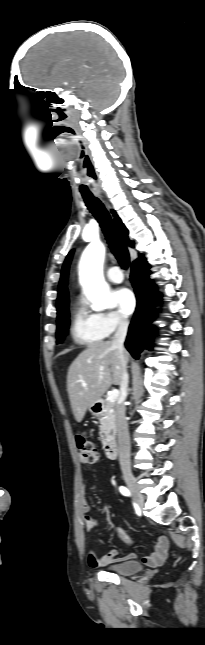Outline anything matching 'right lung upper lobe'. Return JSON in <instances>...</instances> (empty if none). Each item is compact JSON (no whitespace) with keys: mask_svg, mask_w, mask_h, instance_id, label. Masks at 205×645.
Returning a JSON list of instances; mask_svg holds the SVG:
<instances>
[{"mask_svg":"<svg viewBox=\"0 0 205 645\" xmlns=\"http://www.w3.org/2000/svg\"><path fill=\"white\" fill-rule=\"evenodd\" d=\"M112 213L116 217L115 222H116V225H117V227L119 229L120 234L124 237V239L127 242V244L129 246L133 247L134 243L131 242L127 238L128 230L123 225L121 220L117 217L115 212L112 211ZM72 255H73V250L67 255L66 260H65V262L63 264V267H62L61 278H60V283H59V287H58L57 306H56L58 316L62 313V311L65 308L68 307V303H69L68 302V291H67L66 285H67L68 269H69V264H70ZM140 257H142V256L140 255Z\"/></svg>","mask_w":205,"mask_h":645,"instance_id":"right-lung-upper-lobe-1","label":"right lung upper lobe"}]
</instances>
